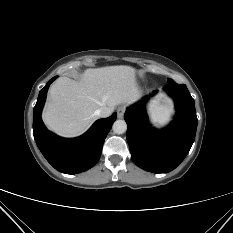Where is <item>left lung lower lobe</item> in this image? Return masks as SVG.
Instances as JSON below:
<instances>
[{"instance_id": "1", "label": "left lung lower lobe", "mask_w": 233, "mask_h": 233, "mask_svg": "<svg viewBox=\"0 0 233 233\" xmlns=\"http://www.w3.org/2000/svg\"><path fill=\"white\" fill-rule=\"evenodd\" d=\"M164 90L173 97L177 109L175 120L167 128L150 127L144 108L149 96L127 108L124 115L131 158L137 166L152 173L170 172L184 160L194 142L198 123L194 99L185 84L173 81Z\"/></svg>"}]
</instances>
